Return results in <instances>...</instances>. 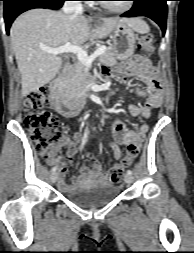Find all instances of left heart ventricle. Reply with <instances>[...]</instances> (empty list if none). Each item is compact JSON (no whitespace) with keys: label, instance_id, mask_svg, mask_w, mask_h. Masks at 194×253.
I'll return each instance as SVG.
<instances>
[{"label":"left heart ventricle","instance_id":"1","mask_svg":"<svg viewBox=\"0 0 194 253\" xmlns=\"http://www.w3.org/2000/svg\"><path fill=\"white\" fill-rule=\"evenodd\" d=\"M125 3H126L125 1H110V2H107L106 4L113 7H122L125 5Z\"/></svg>","mask_w":194,"mask_h":253}]
</instances>
